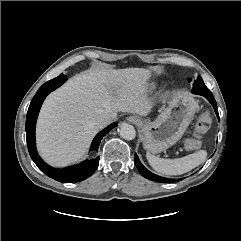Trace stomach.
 Segmentation results:
<instances>
[{
  "mask_svg": "<svg viewBox=\"0 0 241 241\" xmlns=\"http://www.w3.org/2000/svg\"><path fill=\"white\" fill-rule=\"evenodd\" d=\"M197 101L187 92L176 93L154 121L139 118L143 146L155 154L177 143L193 119Z\"/></svg>",
  "mask_w": 241,
  "mask_h": 241,
  "instance_id": "1",
  "label": "stomach"
}]
</instances>
